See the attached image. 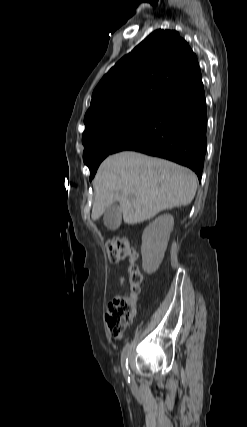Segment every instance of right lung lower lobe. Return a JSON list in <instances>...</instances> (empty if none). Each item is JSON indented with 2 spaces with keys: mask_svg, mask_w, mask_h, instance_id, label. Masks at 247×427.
Returning <instances> with one entry per match:
<instances>
[{
  "mask_svg": "<svg viewBox=\"0 0 247 427\" xmlns=\"http://www.w3.org/2000/svg\"><path fill=\"white\" fill-rule=\"evenodd\" d=\"M207 111L202 78L178 89L114 153L132 150L174 161L202 177L207 148Z\"/></svg>",
  "mask_w": 247,
  "mask_h": 427,
  "instance_id": "right-lung-lower-lobe-1",
  "label": "right lung lower lobe"
}]
</instances>
